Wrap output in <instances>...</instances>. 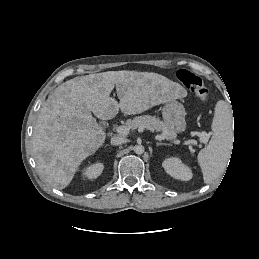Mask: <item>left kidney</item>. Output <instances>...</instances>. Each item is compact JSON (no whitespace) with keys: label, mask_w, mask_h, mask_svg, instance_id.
<instances>
[{"label":"left kidney","mask_w":259,"mask_h":259,"mask_svg":"<svg viewBox=\"0 0 259 259\" xmlns=\"http://www.w3.org/2000/svg\"><path fill=\"white\" fill-rule=\"evenodd\" d=\"M162 166L167 174L175 179L188 181L192 179L191 169L182 163L178 157H170L163 161Z\"/></svg>","instance_id":"1"}]
</instances>
